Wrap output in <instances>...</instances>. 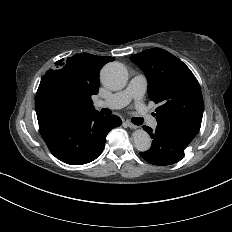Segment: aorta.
I'll list each match as a JSON object with an SVG mask.
<instances>
[{
	"label": "aorta",
	"instance_id": "obj_1",
	"mask_svg": "<svg viewBox=\"0 0 232 232\" xmlns=\"http://www.w3.org/2000/svg\"><path fill=\"white\" fill-rule=\"evenodd\" d=\"M100 79L102 84L112 91L123 89L128 81L126 68L119 62L106 64L101 72ZM134 144L137 150L145 152L151 146V137L143 129H137L133 132Z\"/></svg>",
	"mask_w": 232,
	"mask_h": 232
}]
</instances>
